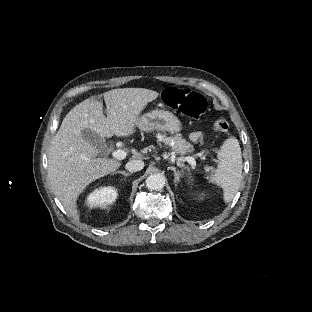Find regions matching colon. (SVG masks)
<instances>
[{
  "label": "colon",
  "mask_w": 312,
  "mask_h": 312,
  "mask_svg": "<svg viewBox=\"0 0 312 312\" xmlns=\"http://www.w3.org/2000/svg\"><path fill=\"white\" fill-rule=\"evenodd\" d=\"M164 103L171 109L180 111L183 115L199 119L206 110L205 98L194 91L178 88H168L165 92ZM211 127L219 131H227L229 128L228 121L223 115H216Z\"/></svg>",
  "instance_id": "5ec220e1"
}]
</instances>
